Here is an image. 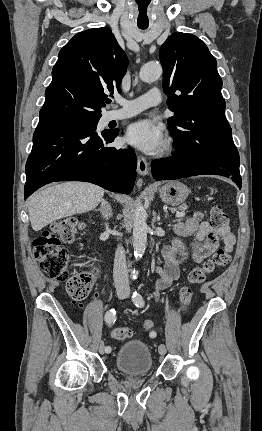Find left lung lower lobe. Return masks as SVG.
<instances>
[{
  "instance_id": "obj_1",
  "label": "left lung lower lobe",
  "mask_w": 262,
  "mask_h": 431,
  "mask_svg": "<svg viewBox=\"0 0 262 431\" xmlns=\"http://www.w3.org/2000/svg\"><path fill=\"white\" fill-rule=\"evenodd\" d=\"M239 154L236 147L223 149L217 156L207 158L184 156L179 153L170 158L155 160L151 163L156 180H173L196 175H221L233 177L241 188L239 173Z\"/></svg>"
}]
</instances>
